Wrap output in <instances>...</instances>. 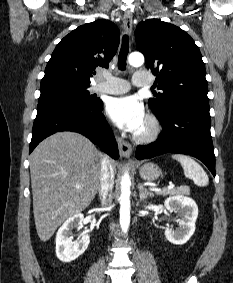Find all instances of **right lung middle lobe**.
I'll return each mask as SVG.
<instances>
[{
	"instance_id": "dd1d6c3e",
	"label": "right lung middle lobe",
	"mask_w": 233,
	"mask_h": 283,
	"mask_svg": "<svg viewBox=\"0 0 233 283\" xmlns=\"http://www.w3.org/2000/svg\"><path fill=\"white\" fill-rule=\"evenodd\" d=\"M89 86L80 85L66 80H52L41 82L38 102L59 99L71 101L86 106H94L100 103L99 99H94L87 90Z\"/></svg>"
}]
</instances>
